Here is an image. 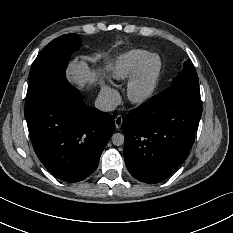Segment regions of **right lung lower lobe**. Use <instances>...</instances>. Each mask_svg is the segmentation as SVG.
I'll return each mask as SVG.
<instances>
[{
	"label": "right lung lower lobe",
	"mask_w": 233,
	"mask_h": 233,
	"mask_svg": "<svg viewBox=\"0 0 233 233\" xmlns=\"http://www.w3.org/2000/svg\"><path fill=\"white\" fill-rule=\"evenodd\" d=\"M82 98L64 77L25 112L40 161L55 177L70 183L94 172L115 129L113 116L89 107Z\"/></svg>",
	"instance_id": "98d812e1"
}]
</instances>
